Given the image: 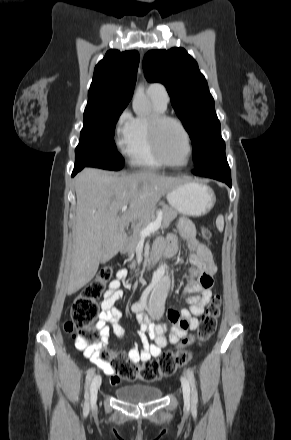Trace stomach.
Returning <instances> with one entry per match:
<instances>
[{
	"label": "stomach",
	"mask_w": 291,
	"mask_h": 440,
	"mask_svg": "<svg viewBox=\"0 0 291 440\" xmlns=\"http://www.w3.org/2000/svg\"><path fill=\"white\" fill-rule=\"evenodd\" d=\"M167 201L183 215L201 216L213 208L216 196L205 184L183 180L167 192Z\"/></svg>",
	"instance_id": "stomach-1"
}]
</instances>
